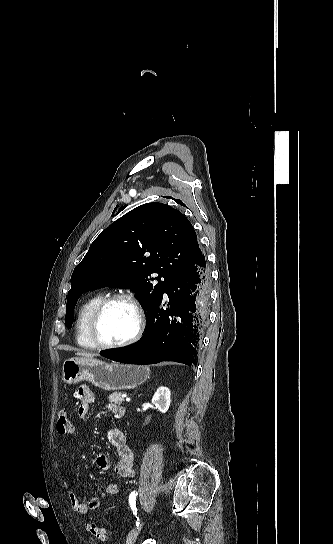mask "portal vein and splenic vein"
<instances>
[{
  "label": "portal vein and splenic vein",
  "instance_id": "18ae733b",
  "mask_svg": "<svg viewBox=\"0 0 333 544\" xmlns=\"http://www.w3.org/2000/svg\"><path fill=\"white\" fill-rule=\"evenodd\" d=\"M121 397H122V398H126L127 395H126V394H122Z\"/></svg>",
  "mask_w": 333,
  "mask_h": 544
}]
</instances>
